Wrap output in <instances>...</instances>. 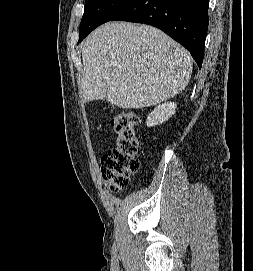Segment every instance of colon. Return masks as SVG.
<instances>
[{"label":"colon","instance_id":"1","mask_svg":"<svg viewBox=\"0 0 253 271\" xmlns=\"http://www.w3.org/2000/svg\"><path fill=\"white\" fill-rule=\"evenodd\" d=\"M115 144L101 160L103 179L113 191L126 187L139 168L140 142L136 132L137 117L120 112L112 118Z\"/></svg>","mask_w":253,"mask_h":271}]
</instances>
